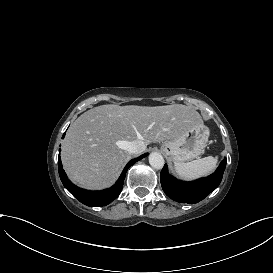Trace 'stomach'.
Returning <instances> with one entry per match:
<instances>
[{
	"mask_svg": "<svg viewBox=\"0 0 273 273\" xmlns=\"http://www.w3.org/2000/svg\"><path fill=\"white\" fill-rule=\"evenodd\" d=\"M210 130L202 123L191 127L177 139L164 141L161 150L176 162L197 158L208 142Z\"/></svg>",
	"mask_w": 273,
	"mask_h": 273,
	"instance_id": "stomach-1",
	"label": "stomach"
}]
</instances>
